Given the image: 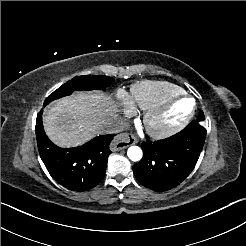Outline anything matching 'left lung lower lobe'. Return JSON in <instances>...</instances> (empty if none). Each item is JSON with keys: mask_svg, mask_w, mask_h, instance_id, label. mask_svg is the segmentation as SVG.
Returning <instances> with one entry per match:
<instances>
[{"mask_svg": "<svg viewBox=\"0 0 246 246\" xmlns=\"http://www.w3.org/2000/svg\"><path fill=\"white\" fill-rule=\"evenodd\" d=\"M205 137L206 129L194 121L169 138L143 142V158L133 166L136 179L157 192L178 186L194 169Z\"/></svg>", "mask_w": 246, "mask_h": 246, "instance_id": "left-lung-lower-lobe-1", "label": "left lung lower lobe"}]
</instances>
